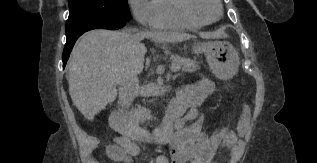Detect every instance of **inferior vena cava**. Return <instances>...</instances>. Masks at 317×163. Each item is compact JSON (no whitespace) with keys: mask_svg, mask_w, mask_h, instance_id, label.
<instances>
[{"mask_svg":"<svg viewBox=\"0 0 317 163\" xmlns=\"http://www.w3.org/2000/svg\"><path fill=\"white\" fill-rule=\"evenodd\" d=\"M138 79L135 76H128L119 88L118 104L122 108H128L137 94Z\"/></svg>","mask_w":317,"mask_h":163,"instance_id":"obj_1","label":"inferior vena cava"}]
</instances>
